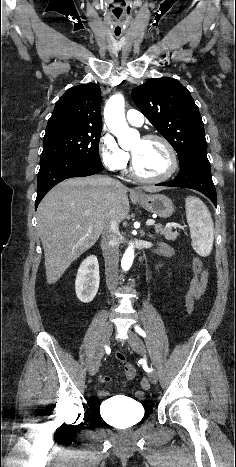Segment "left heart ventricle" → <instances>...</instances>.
<instances>
[{
    "instance_id": "left-heart-ventricle-1",
    "label": "left heart ventricle",
    "mask_w": 236,
    "mask_h": 467,
    "mask_svg": "<svg viewBox=\"0 0 236 467\" xmlns=\"http://www.w3.org/2000/svg\"><path fill=\"white\" fill-rule=\"evenodd\" d=\"M138 172L147 177L165 174L170 167V156L166 147L158 140H136L131 147Z\"/></svg>"
}]
</instances>
